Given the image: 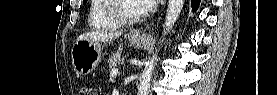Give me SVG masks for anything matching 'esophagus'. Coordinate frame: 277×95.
Wrapping results in <instances>:
<instances>
[{
  "mask_svg": "<svg viewBox=\"0 0 277 95\" xmlns=\"http://www.w3.org/2000/svg\"><path fill=\"white\" fill-rule=\"evenodd\" d=\"M155 21H156V20H155ZM153 24H154V22L151 23V25H153ZM147 28H149V27H147ZM137 36L140 37V38H143V37L145 36V31H143V32H138V33H137Z\"/></svg>",
  "mask_w": 277,
  "mask_h": 95,
  "instance_id": "esophagus-1",
  "label": "esophagus"
}]
</instances>
